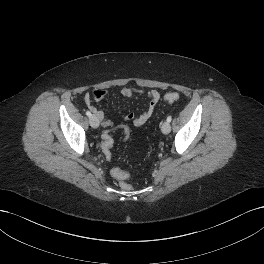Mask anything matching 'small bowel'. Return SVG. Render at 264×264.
I'll use <instances>...</instances> for the list:
<instances>
[{"label":"small bowel","instance_id":"1","mask_svg":"<svg viewBox=\"0 0 264 264\" xmlns=\"http://www.w3.org/2000/svg\"><path fill=\"white\" fill-rule=\"evenodd\" d=\"M121 95L125 99H131L136 96H145L148 100V104L146 109L140 114L135 115L133 112L128 113L124 118L125 120L132 121V123L135 126H142L144 125L152 116L154 109L160 99V93L157 90H152L146 94H143L141 92L134 91L129 88H124L121 90ZM107 96L106 91L104 90H96L92 94L86 93L84 96V101L89 108V110L94 114V116L97 117L99 122L101 123V126L104 128H108L112 125V122L110 119H108L104 112L100 109H98L93 102H98L102 99H104ZM124 132L126 135H128L129 130L127 127H123ZM106 157L110 159L111 154H106ZM119 168H113L111 173L115 177V173L119 171Z\"/></svg>","mask_w":264,"mask_h":264}]
</instances>
